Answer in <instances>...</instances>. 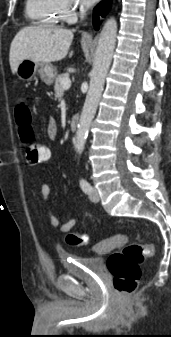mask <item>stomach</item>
<instances>
[{
	"label": "stomach",
	"mask_w": 171,
	"mask_h": 337,
	"mask_svg": "<svg viewBox=\"0 0 171 337\" xmlns=\"http://www.w3.org/2000/svg\"><path fill=\"white\" fill-rule=\"evenodd\" d=\"M46 84H52L56 78V68L49 63H40L29 59L22 60L17 68L16 75L20 80L28 81L32 79L36 73Z\"/></svg>",
	"instance_id": "stomach-1"
}]
</instances>
